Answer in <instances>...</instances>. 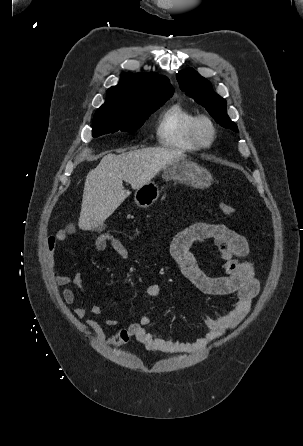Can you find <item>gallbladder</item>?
<instances>
[{
  "label": "gallbladder",
  "instance_id": "gallbladder-1",
  "mask_svg": "<svg viewBox=\"0 0 303 446\" xmlns=\"http://www.w3.org/2000/svg\"><path fill=\"white\" fill-rule=\"evenodd\" d=\"M103 228H104L103 225H100V226L96 227L95 230H97V231H102Z\"/></svg>",
  "mask_w": 303,
  "mask_h": 446
}]
</instances>
